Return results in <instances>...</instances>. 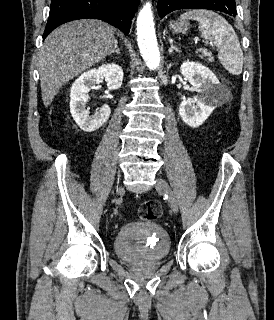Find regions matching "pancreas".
<instances>
[{
  "instance_id": "pancreas-1",
  "label": "pancreas",
  "mask_w": 274,
  "mask_h": 320,
  "mask_svg": "<svg viewBox=\"0 0 274 320\" xmlns=\"http://www.w3.org/2000/svg\"><path fill=\"white\" fill-rule=\"evenodd\" d=\"M199 58H201V60L206 58L207 62H214L211 52H207V50H201Z\"/></svg>"
}]
</instances>
